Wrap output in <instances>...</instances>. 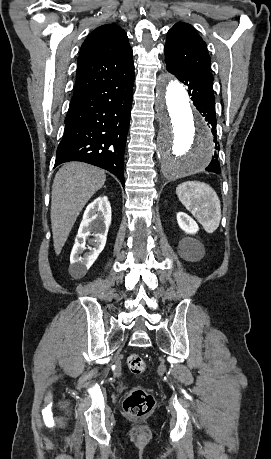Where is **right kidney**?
<instances>
[{
  "instance_id": "obj_1",
  "label": "right kidney",
  "mask_w": 271,
  "mask_h": 459,
  "mask_svg": "<svg viewBox=\"0 0 271 459\" xmlns=\"http://www.w3.org/2000/svg\"><path fill=\"white\" fill-rule=\"evenodd\" d=\"M111 224V206L107 196H99L87 206L70 253L69 273L75 279L84 277L101 253ZM88 235H94L88 239ZM86 241L94 247H85ZM83 249H90L83 253ZM83 253V255H81Z\"/></svg>"
}]
</instances>
